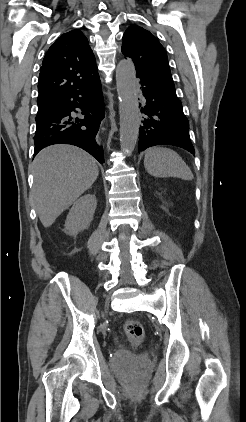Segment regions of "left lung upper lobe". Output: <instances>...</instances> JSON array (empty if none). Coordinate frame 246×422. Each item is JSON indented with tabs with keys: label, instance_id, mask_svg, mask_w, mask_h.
Masks as SVG:
<instances>
[{
	"label": "left lung upper lobe",
	"instance_id": "1",
	"mask_svg": "<svg viewBox=\"0 0 246 422\" xmlns=\"http://www.w3.org/2000/svg\"><path fill=\"white\" fill-rule=\"evenodd\" d=\"M122 53L133 60L137 75L177 96L166 51L149 31L138 25L129 26L123 35Z\"/></svg>",
	"mask_w": 246,
	"mask_h": 422
}]
</instances>
